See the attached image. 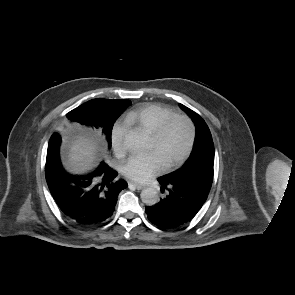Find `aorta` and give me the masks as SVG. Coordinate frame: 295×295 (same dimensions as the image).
Listing matches in <instances>:
<instances>
[{
    "label": "aorta",
    "instance_id": "aorta-1",
    "mask_svg": "<svg viewBox=\"0 0 295 295\" xmlns=\"http://www.w3.org/2000/svg\"><path fill=\"white\" fill-rule=\"evenodd\" d=\"M124 146L129 150H142L146 146V139L137 132H130L124 139ZM140 197L147 206H153L159 202L158 191L152 187L143 189Z\"/></svg>",
    "mask_w": 295,
    "mask_h": 295
}]
</instances>
